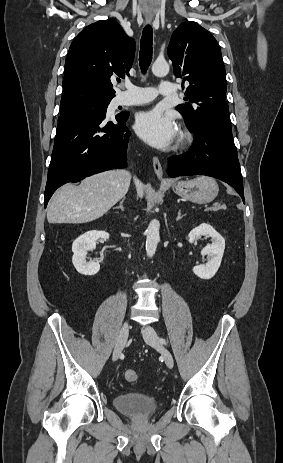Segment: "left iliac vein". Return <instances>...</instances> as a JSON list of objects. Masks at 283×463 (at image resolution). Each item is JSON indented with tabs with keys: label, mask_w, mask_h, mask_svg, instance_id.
Wrapping results in <instances>:
<instances>
[{
	"label": "left iliac vein",
	"mask_w": 283,
	"mask_h": 463,
	"mask_svg": "<svg viewBox=\"0 0 283 463\" xmlns=\"http://www.w3.org/2000/svg\"><path fill=\"white\" fill-rule=\"evenodd\" d=\"M142 335L147 344L159 350L165 359L168 368H173L174 359L168 349H166L158 339L156 331L151 326H145L142 329Z\"/></svg>",
	"instance_id": "4c4485c4"
}]
</instances>
